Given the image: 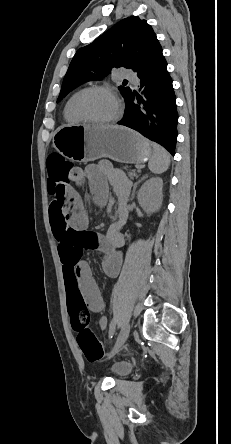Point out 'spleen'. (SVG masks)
<instances>
[{
	"mask_svg": "<svg viewBox=\"0 0 231 444\" xmlns=\"http://www.w3.org/2000/svg\"><path fill=\"white\" fill-rule=\"evenodd\" d=\"M153 153L149 160L148 167L154 174L165 172L170 166V155L165 148L159 144L152 143Z\"/></svg>",
	"mask_w": 231,
	"mask_h": 444,
	"instance_id": "3e777b00",
	"label": "spleen"
}]
</instances>
